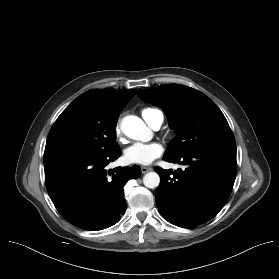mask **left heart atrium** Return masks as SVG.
I'll use <instances>...</instances> for the list:
<instances>
[{
	"instance_id": "obj_1",
	"label": "left heart atrium",
	"mask_w": 279,
	"mask_h": 279,
	"mask_svg": "<svg viewBox=\"0 0 279 279\" xmlns=\"http://www.w3.org/2000/svg\"><path fill=\"white\" fill-rule=\"evenodd\" d=\"M163 147L158 142L134 143L124 151V159L131 164L149 165L161 156Z\"/></svg>"
}]
</instances>
